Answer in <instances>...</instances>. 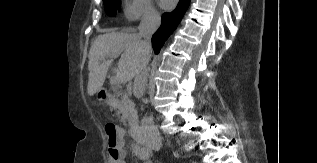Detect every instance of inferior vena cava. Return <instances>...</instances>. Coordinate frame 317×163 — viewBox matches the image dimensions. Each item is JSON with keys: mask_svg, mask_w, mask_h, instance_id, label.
<instances>
[{"mask_svg": "<svg viewBox=\"0 0 317 163\" xmlns=\"http://www.w3.org/2000/svg\"><path fill=\"white\" fill-rule=\"evenodd\" d=\"M161 23V17L158 12L154 10H148L145 12L142 21L138 27L139 36L143 38L142 45L146 52V56L141 62L139 72L134 80V91L137 97H141L145 90V85L148 78V62L151 51V37L159 28ZM141 134L146 145L152 150L158 151L162 146V140L157 127L154 125L151 117L145 116L141 121L140 126Z\"/></svg>", "mask_w": 317, "mask_h": 163, "instance_id": "inferior-vena-cava-1", "label": "inferior vena cava"}]
</instances>
